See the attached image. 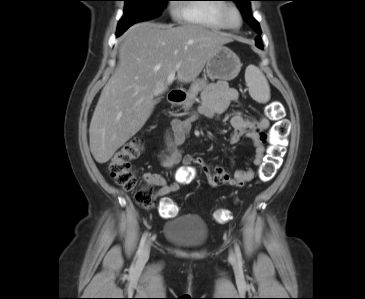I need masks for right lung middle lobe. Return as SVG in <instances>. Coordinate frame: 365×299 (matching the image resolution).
<instances>
[{
	"instance_id": "right-lung-middle-lobe-1",
	"label": "right lung middle lobe",
	"mask_w": 365,
	"mask_h": 299,
	"mask_svg": "<svg viewBox=\"0 0 365 299\" xmlns=\"http://www.w3.org/2000/svg\"><path fill=\"white\" fill-rule=\"evenodd\" d=\"M125 1L124 16L119 26L132 25L142 20L160 15L169 0H123Z\"/></svg>"
}]
</instances>
